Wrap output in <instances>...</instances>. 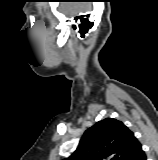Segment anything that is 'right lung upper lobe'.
<instances>
[{"label": "right lung upper lobe", "mask_w": 158, "mask_h": 160, "mask_svg": "<svg viewBox=\"0 0 158 160\" xmlns=\"http://www.w3.org/2000/svg\"><path fill=\"white\" fill-rule=\"evenodd\" d=\"M141 150L128 127L106 118L86 130L75 152L64 160H132Z\"/></svg>", "instance_id": "obj_1"}]
</instances>
